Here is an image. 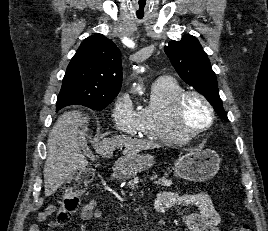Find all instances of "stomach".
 <instances>
[{"label": "stomach", "mask_w": 268, "mask_h": 231, "mask_svg": "<svg viewBox=\"0 0 268 231\" xmlns=\"http://www.w3.org/2000/svg\"><path fill=\"white\" fill-rule=\"evenodd\" d=\"M154 158L150 154L124 155L115 167L124 178L136 176L152 167ZM220 158L210 149L194 150L180 156L174 163L175 175L184 180L203 182L211 179L219 170Z\"/></svg>", "instance_id": "stomach-1"}]
</instances>
